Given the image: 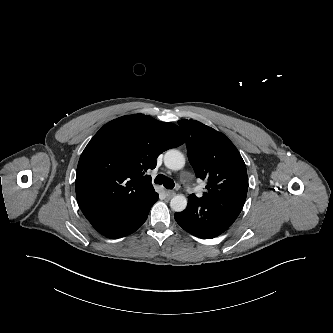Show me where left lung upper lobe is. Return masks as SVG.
<instances>
[{"label": "left lung upper lobe", "mask_w": 333, "mask_h": 333, "mask_svg": "<svg viewBox=\"0 0 333 333\" xmlns=\"http://www.w3.org/2000/svg\"><path fill=\"white\" fill-rule=\"evenodd\" d=\"M178 124L186 136L188 156L197 177L207 181L203 196L230 187L247 190L246 165L224 134L195 120H180Z\"/></svg>", "instance_id": "obj_1"}]
</instances>
